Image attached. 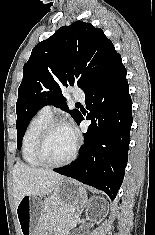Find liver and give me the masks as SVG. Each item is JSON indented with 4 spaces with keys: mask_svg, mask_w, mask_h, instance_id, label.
Segmentation results:
<instances>
[{
    "mask_svg": "<svg viewBox=\"0 0 155 235\" xmlns=\"http://www.w3.org/2000/svg\"><path fill=\"white\" fill-rule=\"evenodd\" d=\"M63 176L51 170L30 167L17 162L13 168V196L15 207L25 195H48Z\"/></svg>",
    "mask_w": 155,
    "mask_h": 235,
    "instance_id": "1",
    "label": "liver"
}]
</instances>
